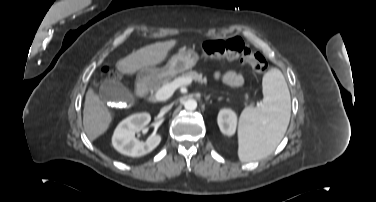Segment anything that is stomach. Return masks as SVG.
<instances>
[{"label":"stomach","mask_w":376,"mask_h":202,"mask_svg":"<svg viewBox=\"0 0 376 202\" xmlns=\"http://www.w3.org/2000/svg\"><path fill=\"white\" fill-rule=\"evenodd\" d=\"M198 60L199 55L194 49L181 50L173 55L163 68L145 67L140 70L138 76L154 81L162 77L174 78L178 74L191 69Z\"/></svg>","instance_id":"obj_1"}]
</instances>
